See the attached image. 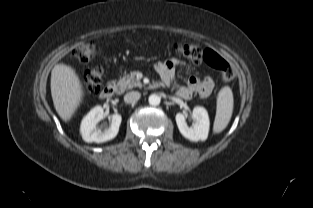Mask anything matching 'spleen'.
Listing matches in <instances>:
<instances>
[{"instance_id":"3e777b00","label":"spleen","mask_w":313,"mask_h":208,"mask_svg":"<svg viewBox=\"0 0 313 208\" xmlns=\"http://www.w3.org/2000/svg\"><path fill=\"white\" fill-rule=\"evenodd\" d=\"M233 112V93L226 86L223 87L217 97L216 116L213 125L214 133L222 132L228 125Z\"/></svg>"}]
</instances>
